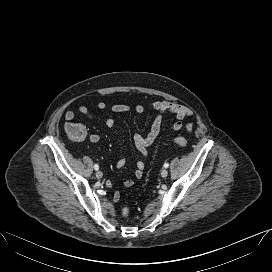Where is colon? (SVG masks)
I'll list each match as a JSON object with an SVG mask.
<instances>
[{"label": "colon", "instance_id": "5ec220e1", "mask_svg": "<svg viewBox=\"0 0 272 272\" xmlns=\"http://www.w3.org/2000/svg\"><path fill=\"white\" fill-rule=\"evenodd\" d=\"M65 130L69 138L74 141H81L85 139L87 135L85 127L76 122L67 123L65 125ZM174 143L178 147L183 148L187 145V140L182 136H178L174 139ZM124 212L127 213V210L125 209Z\"/></svg>", "mask_w": 272, "mask_h": 272}]
</instances>
